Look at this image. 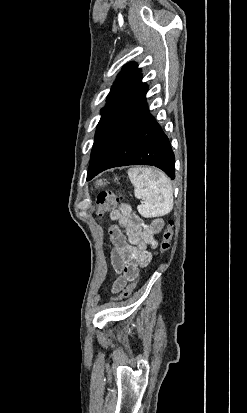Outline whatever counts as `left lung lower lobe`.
I'll return each mask as SVG.
<instances>
[{"mask_svg":"<svg viewBox=\"0 0 247 413\" xmlns=\"http://www.w3.org/2000/svg\"><path fill=\"white\" fill-rule=\"evenodd\" d=\"M145 94L93 145L88 181L106 169L137 164L154 165L175 178L174 153L149 113Z\"/></svg>","mask_w":247,"mask_h":413,"instance_id":"obj_1","label":"left lung lower lobe"}]
</instances>
